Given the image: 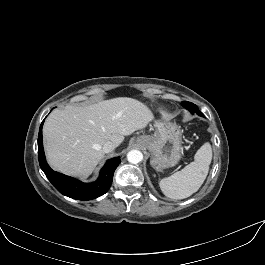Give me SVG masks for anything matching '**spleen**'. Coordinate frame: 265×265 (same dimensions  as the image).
I'll return each mask as SVG.
<instances>
[{"label":"spleen","mask_w":265,"mask_h":265,"mask_svg":"<svg viewBox=\"0 0 265 265\" xmlns=\"http://www.w3.org/2000/svg\"><path fill=\"white\" fill-rule=\"evenodd\" d=\"M195 160L170 177L163 178L159 186L167 197L184 199L197 192L205 181L212 160L210 143H204L196 152Z\"/></svg>","instance_id":"3e777b00"}]
</instances>
